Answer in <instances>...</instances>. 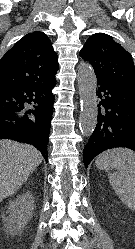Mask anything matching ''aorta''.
I'll use <instances>...</instances> for the list:
<instances>
[{
  "instance_id": "obj_1",
  "label": "aorta",
  "mask_w": 135,
  "mask_h": 249,
  "mask_svg": "<svg viewBox=\"0 0 135 249\" xmlns=\"http://www.w3.org/2000/svg\"><path fill=\"white\" fill-rule=\"evenodd\" d=\"M78 87L81 102L79 127L84 136L89 137L97 124V80L93 68L84 63L78 70Z\"/></svg>"
}]
</instances>
